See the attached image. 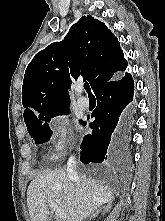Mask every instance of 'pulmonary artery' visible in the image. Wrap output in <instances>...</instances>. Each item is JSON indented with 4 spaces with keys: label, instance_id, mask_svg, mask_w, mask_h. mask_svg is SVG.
<instances>
[{
    "label": "pulmonary artery",
    "instance_id": "pulmonary-artery-1",
    "mask_svg": "<svg viewBox=\"0 0 165 221\" xmlns=\"http://www.w3.org/2000/svg\"><path fill=\"white\" fill-rule=\"evenodd\" d=\"M82 90H83L82 86H79L78 91L82 92ZM77 105L80 109L86 110L89 107V100L86 97L82 96L77 100Z\"/></svg>",
    "mask_w": 165,
    "mask_h": 221
}]
</instances>
